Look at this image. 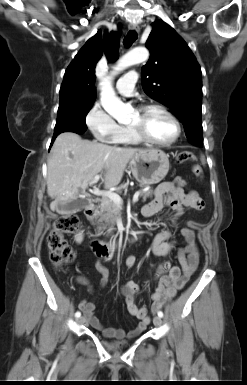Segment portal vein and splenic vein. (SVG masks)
<instances>
[{"label": "portal vein and splenic vein", "mask_w": 247, "mask_h": 385, "mask_svg": "<svg viewBox=\"0 0 247 385\" xmlns=\"http://www.w3.org/2000/svg\"><path fill=\"white\" fill-rule=\"evenodd\" d=\"M100 177H101L100 175H96L94 177V179L90 182V184L97 183L99 181ZM93 193L95 195H97V196L107 197V198L111 199L114 203H116L119 206L123 204L122 198L117 193H115V192L99 190L97 188H94ZM139 195H140L139 191L135 192V194L133 195V201H137L138 198H139Z\"/></svg>", "instance_id": "1"}]
</instances>
